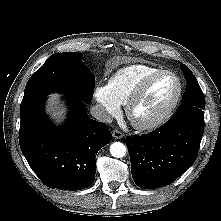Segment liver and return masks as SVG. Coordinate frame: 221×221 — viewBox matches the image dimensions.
Wrapping results in <instances>:
<instances>
[{
  "mask_svg": "<svg viewBox=\"0 0 221 221\" xmlns=\"http://www.w3.org/2000/svg\"><path fill=\"white\" fill-rule=\"evenodd\" d=\"M58 98L59 95L58 94H51L50 98L48 100V110L49 111H53V116L56 117L58 120L62 119L63 116V110H60L59 107H57L56 105L58 104Z\"/></svg>",
  "mask_w": 221,
  "mask_h": 221,
  "instance_id": "liver-1",
  "label": "liver"
}]
</instances>
